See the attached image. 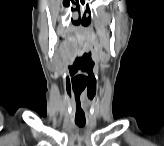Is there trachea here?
Instances as JSON below:
<instances>
[{
	"label": "trachea",
	"mask_w": 164,
	"mask_h": 146,
	"mask_svg": "<svg viewBox=\"0 0 164 146\" xmlns=\"http://www.w3.org/2000/svg\"><path fill=\"white\" fill-rule=\"evenodd\" d=\"M76 125L79 127H84L85 126V121L84 122H80V121H75Z\"/></svg>",
	"instance_id": "obj_1"
}]
</instances>
